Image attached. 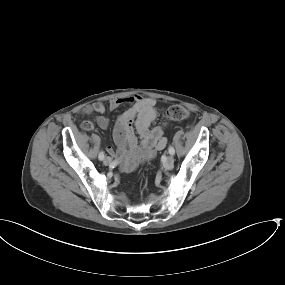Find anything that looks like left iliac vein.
<instances>
[{"mask_svg": "<svg viewBox=\"0 0 285 285\" xmlns=\"http://www.w3.org/2000/svg\"><path fill=\"white\" fill-rule=\"evenodd\" d=\"M173 163H174V158L172 155H169L164 162V167L169 170L173 167Z\"/></svg>", "mask_w": 285, "mask_h": 285, "instance_id": "left-iliac-vein-1", "label": "left iliac vein"}]
</instances>
